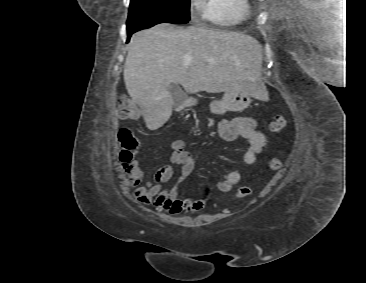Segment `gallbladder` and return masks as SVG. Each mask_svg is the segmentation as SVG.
Wrapping results in <instances>:
<instances>
[{
    "instance_id": "1",
    "label": "gallbladder",
    "mask_w": 366,
    "mask_h": 283,
    "mask_svg": "<svg viewBox=\"0 0 366 283\" xmlns=\"http://www.w3.org/2000/svg\"><path fill=\"white\" fill-rule=\"evenodd\" d=\"M169 89H170V93L174 99V106L176 108L181 106L184 101V95L181 92V89L175 84H171Z\"/></svg>"
}]
</instances>
